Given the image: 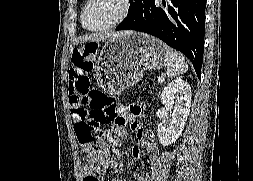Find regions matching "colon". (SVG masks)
<instances>
[{"label": "colon", "mask_w": 253, "mask_h": 181, "mask_svg": "<svg viewBox=\"0 0 253 181\" xmlns=\"http://www.w3.org/2000/svg\"><path fill=\"white\" fill-rule=\"evenodd\" d=\"M98 41H85L82 48H75L73 61L86 55H97ZM74 130L78 143L87 151V165L104 167L108 162V150L104 141L103 125L116 114L115 99L97 89L71 100Z\"/></svg>", "instance_id": "obj_1"}]
</instances>
